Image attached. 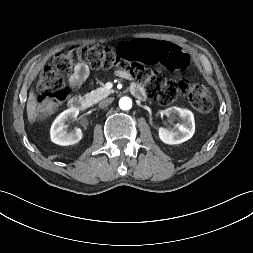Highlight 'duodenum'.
<instances>
[{
    "label": "duodenum",
    "mask_w": 253,
    "mask_h": 253,
    "mask_svg": "<svg viewBox=\"0 0 253 253\" xmlns=\"http://www.w3.org/2000/svg\"><path fill=\"white\" fill-rule=\"evenodd\" d=\"M132 91L134 95L137 96L138 98L144 97V92L140 88H134L132 89ZM91 104H92L91 98L82 97V96L72 97L69 101V107L72 110H77L80 112H83L89 109Z\"/></svg>",
    "instance_id": "410a0bca"
}]
</instances>
